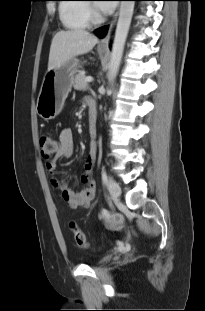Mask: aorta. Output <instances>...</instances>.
Wrapping results in <instances>:
<instances>
[{"mask_svg": "<svg viewBox=\"0 0 205 311\" xmlns=\"http://www.w3.org/2000/svg\"><path fill=\"white\" fill-rule=\"evenodd\" d=\"M133 10H134V1H121L111 58L108 64L109 81L114 80L119 70L126 38L132 20Z\"/></svg>", "mask_w": 205, "mask_h": 311, "instance_id": "aorta-1", "label": "aorta"}]
</instances>
